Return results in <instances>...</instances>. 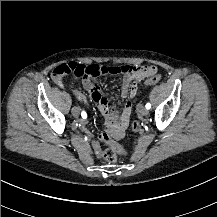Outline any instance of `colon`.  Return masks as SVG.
Returning <instances> with one entry per match:
<instances>
[{
  "label": "colon",
  "mask_w": 217,
  "mask_h": 217,
  "mask_svg": "<svg viewBox=\"0 0 217 217\" xmlns=\"http://www.w3.org/2000/svg\"><path fill=\"white\" fill-rule=\"evenodd\" d=\"M156 69L155 67L142 65V66H132L128 64H118V65H79L77 62L65 63L63 66L57 68L54 71V77L58 79H67L70 76L76 78L80 77H97L101 74H133L141 79V75L145 73H150V70ZM151 76V75H150ZM160 79L159 73L151 76L148 80L143 83L145 85H153L157 83ZM131 128L133 131H138L140 126L137 121H132ZM97 138L101 141L106 142L109 146L118 150V153L124 154L125 147L118 143L114 138L103 132L97 133ZM104 157L110 163L116 162V154L110 149L104 150Z\"/></svg>",
  "instance_id": "obj_1"
}]
</instances>
